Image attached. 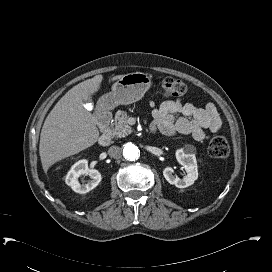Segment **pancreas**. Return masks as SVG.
Here are the masks:
<instances>
[{
  "label": "pancreas",
  "mask_w": 272,
  "mask_h": 272,
  "mask_svg": "<svg viewBox=\"0 0 272 272\" xmlns=\"http://www.w3.org/2000/svg\"><path fill=\"white\" fill-rule=\"evenodd\" d=\"M129 115L125 111L118 110L115 114L114 124L111 129V135L115 138L124 137L132 132V128L128 125Z\"/></svg>",
  "instance_id": "obj_1"
}]
</instances>
